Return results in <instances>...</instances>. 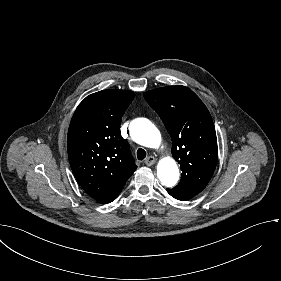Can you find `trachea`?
<instances>
[{
    "mask_svg": "<svg viewBox=\"0 0 281 281\" xmlns=\"http://www.w3.org/2000/svg\"><path fill=\"white\" fill-rule=\"evenodd\" d=\"M146 151L144 150V149H142V148H139L138 150H137V159L138 160H143L145 157H146Z\"/></svg>",
    "mask_w": 281,
    "mask_h": 281,
    "instance_id": "1",
    "label": "trachea"
}]
</instances>
